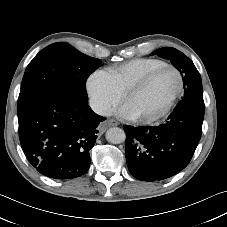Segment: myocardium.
Listing matches in <instances>:
<instances>
[{
	"instance_id": "f54148a6",
	"label": "myocardium",
	"mask_w": 227,
	"mask_h": 227,
	"mask_svg": "<svg viewBox=\"0 0 227 227\" xmlns=\"http://www.w3.org/2000/svg\"><path fill=\"white\" fill-rule=\"evenodd\" d=\"M168 69L175 71L177 76H178L179 83H178V88H177L175 94L172 96V98L169 100L167 105L159 113L152 115V116H134L132 118L134 121L144 122V123H153V122L160 120L161 118H163L164 116H166L169 113V111L172 109V107L174 106L177 99L182 94L183 89H184L183 75L177 67L167 64L165 66H162V67L155 69L154 71L150 72L145 77H143L140 81H138L133 86H131L123 95L122 101H123L124 105L126 104V102L129 98H131L135 94L139 93L146 86H148L151 83V81L158 74H160L162 71L168 70Z\"/></svg>"
}]
</instances>
